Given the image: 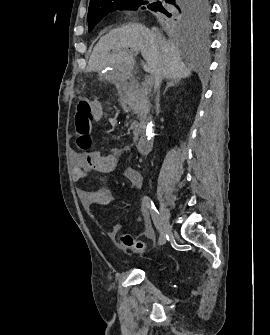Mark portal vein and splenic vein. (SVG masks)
<instances>
[{
  "instance_id": "1",
  "label": "portal vein and splenic vein",
  "mask_w": 270,
  "mask_h": 335,
  "mask_svg": "<svg viewBox=\"0 0 270 335\" xmlns=\"http://www.w3.org/2000/svg\"><path fill=\"white\" fill-rule=\"evenodd\" d=\"M129 54H133V52H129ZM154 76L153 75H150L149 76V79L147 80V86L149 88H152L154 86Z\"/></svg>"
}]
</instances>
